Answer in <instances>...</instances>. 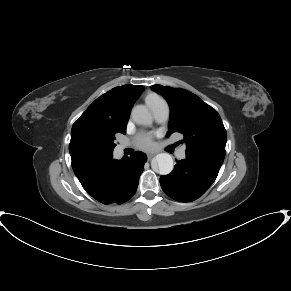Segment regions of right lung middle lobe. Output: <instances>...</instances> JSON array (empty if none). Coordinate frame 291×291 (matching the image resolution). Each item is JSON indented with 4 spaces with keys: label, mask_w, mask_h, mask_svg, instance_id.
<instances>
[{
    "label": "right lung middle lobe",
    "mask_w": 291,
    "mask_h": 291,
    "mask_svg": "<svg viewBox=\"0 0 291 291\" xmlns=\"http://www.w3.org/2000/svg\"><path fill=\"white\" fill-rule=\"evenodd\" d=\"M114 139L115 134L110 135L106 139L88 138L85 146L90 153L104 152L106 154H112L116 146Z\"/></svg>",
    "instance_id": "dd1d6c3e"
}]
</instances>
